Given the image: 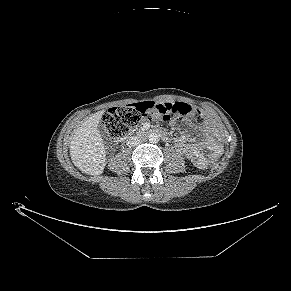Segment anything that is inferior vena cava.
Masks as SVG:
<instances>
[{
  "label": "inferior vena cava",
  "mask_w": 291,
  "mask_h": 291,
  "mask_svg": "<svg viewBox=\"0 0 291 291\" xmlns=\"http://www.w3.org/2000/svg\"><path fill=\"white\" fill-rule=\"evenodd\" d=\"M141 142H142V140L138 136H130L126 140V144H127L128 147H136V146L140 145Z\"/></svg>",
  "instance_id": "1"
}]
</instances>
